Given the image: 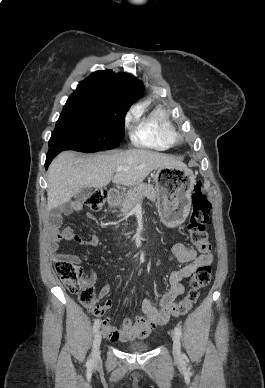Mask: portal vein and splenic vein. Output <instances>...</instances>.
Masks as SVG:
<instances>
[{"mask_svg": "<svg viewBox=\"0 0 265 388\" xmlns=\"http://www.w3.org/2000/svg\"><path fill=\"white\" fill-rule=\"evenodd\" d=\"M123 170H130V168H126V166H120V168H116V172H123Z\"/></svg>", "mask_w": 265, "mask_h": 388, "instance_id": "obj_1", "label": "portal vein and splenic vein"}]
</instances>
